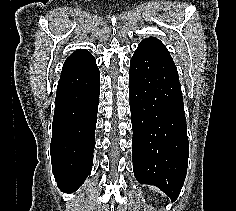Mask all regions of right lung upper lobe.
Wrapping results in <instances>:
<instances>
[{
    "label": "right lung upper lobe",
    "instance_id": "cb5924a9",
    "mask_svg": "<svg viewBox=\"0 0 236 211\" xmlns=\"http://www.w3.org/2000/svg\"><path fill=\"white\" fill-rule=\"evenodd\" d=\"M96 67L93 55L87 50L79 49L66 59L60 78L86 73Z\"/></svg>",
    "mask_w": 236,
    "mask_h": 211
}]
</instances>
